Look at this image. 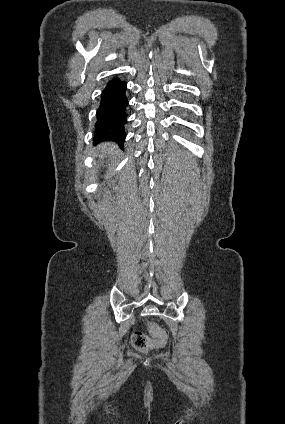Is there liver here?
I'll list each match as a JSON object with an SVG mask.
<instances>
[{"mask_svg": "<svg viewBox=\"0 0 285 424\" xmlns=\"http://www.w3.org/2000/svg\"><path fill=\"white\" fill-rule=\"evenodd\" d=\"M99 152L95 154L100 160H104L107 158H114V156L118 153V148L115 143H102L98 146Z\"/></svg>", "mask_w": 285, "mask_h": 424, "instance_id": "6515ba94", "label": "liver"}]
</instances>
